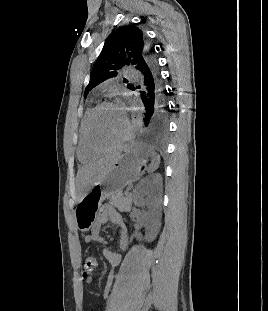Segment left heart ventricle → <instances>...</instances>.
<instances>
[{"instance_id":"obj_1","label":"left heart ventricle","mask_w":268,"mask_h":311,"mask_svg":"<svg viewBox=\"0 0 268 311\" xmlns=\"http://www.w3.org/2000/svg\"><path fill=\"white\" fill-rule=\"evenodd\" d=\"M124 115L116 107L101 109L92 121L91 136L93 142L101 148L116 143L125 133Z\"/></svg>"}]
</instances>
